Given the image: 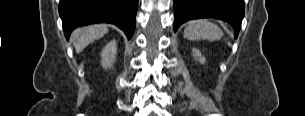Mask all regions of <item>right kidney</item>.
<instances>
[{"mask_svg":"<svg viewBox=\"0 0 305 116\" xmlns=\"http://www.w3.org/2000/svg\"><path fill=\"white\" fill-rule=\"evenodd\" d=\"M116 53L117 43L115 40H112L106 44L101 52V64L105 69L110 68L113 65Z\"/></svg>","mask_w":305,"mask_h":116,"instance_id":"obj_1","label":"right kidney"}]
</instances>
